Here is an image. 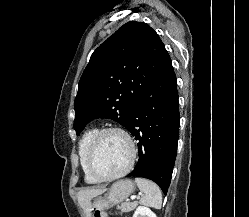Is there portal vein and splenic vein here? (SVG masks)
I'll return each instance as SVG.
<instances>
[{
	"instance_id": "portal-vein-and-splenic-vein-1",
	"label": "portal vein and splenic vein",
	"mask_w": 249,
	"mask_h": 217,
	"mask_svg": "<svg viewBox=\"0 0 249 217\" xmlns=\"http://www.w3.org/2000/svg\"><path fill=\"white\" fill-rule=\"evenodd\" d=\"M137 198V196H132L131 199L132 200H135Z\"/></svg>"
}]
</instances>
